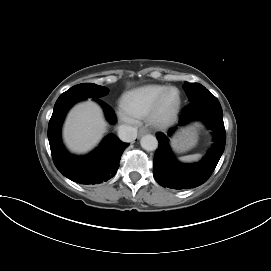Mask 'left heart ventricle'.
Here are the masks:
<instances>
[{
	"label": "left heart ventricle",
	"mask_w": 271,
	"mask_h": 271,
	"mask_svg": "<svg viewBox=\"0 0 271 271\" xmlns=\"http://www.w3.org/2000/svg\"><path fill=\"white\" fill-rule=\"evenodd\" d=\"M176 100H177V94L176 92L172 91L170 92L166 99H165V102H164V108L166 110L172 108L174 106V104L176 103Z\"/></svg>",
	"instance_id": "1"
}]
</instances>
